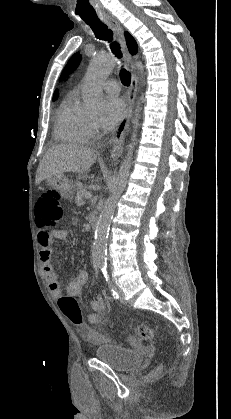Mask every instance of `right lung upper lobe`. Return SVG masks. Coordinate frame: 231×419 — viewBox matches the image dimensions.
<instances>
[{"instance_id":"obj_1","label":"right lung upper lobe","mask_w":231,"mask_h":419,"mask_svg":"<svg viewBox=\"0 0 231 419\" xmlns=\"http://www.w3.org/2000/svg\"><path fill=\"white\" fill-rule=\"evenodd\" d=\"M125 38H126L127 46H128V49H129L130 53L132 55L136 54L137 50H138V47H137V43L134 40V38L128 32H125ZM57 96H58V90L56 89L55 92H54L53 98H57Z\"/></svg>"}]
</instances>
